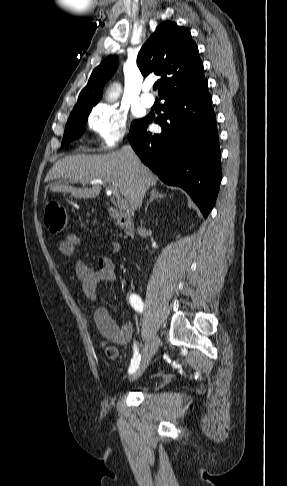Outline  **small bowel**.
Listing matches in <instances>:
<instances>
[{
    "instance_id": "obj_1",
    "label": "small bowel",
    "mask_w": 287,
    "mask_h": 486,
    "mask_svg": "<svg viewBox=\"0 0 287 486\" xmlns=\"http://www.w3.org/2000/svg\"><path fill=\"white\" fill-rule=\"evenodd\" d=\"M81 244L82 241L78 236L68 233L59 243V251L64 256H73ZM119 250L120 244L116 241L111 242L110 254H115ZM110 254L99 257L98 268H91L82 261L76 263V275L81 282V289L88 299L97 298V287L100 283L113 282L116 279L115 264ZM94 319L100 333L109 341L119 345L131 342L133 326L130 322L119 325L105 308H98L95 311Z\"/></svg>"
}]
</instances>
